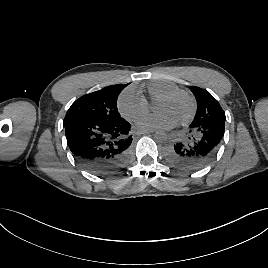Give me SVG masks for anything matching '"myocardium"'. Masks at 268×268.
<instances>
[{"label":"myocardium","instance_id":"myocardium-1","mask_svg":"<svg viewBox=\"0 0 268 268\" xmlns=\"http://www.w3.org/2000/svg\"><path fill=\"white\" fill-rule=\"evenodd\" d=\"M177 96H183L185 97L190 104V110L188 112V114L179 122H177L178 125H186L188 124L194 117L195 113H196V102L194 97L186 90L183 89H175L173 91H170L168 93H166L165 95H163L162 97H160L157 101V103L160 102H166L169 100H172L173 98L177 97Z\"/></svg>","mask_w":268,"mask_h":268}]
</instances>
